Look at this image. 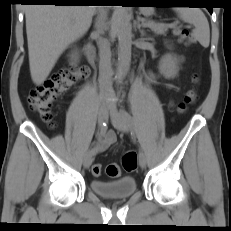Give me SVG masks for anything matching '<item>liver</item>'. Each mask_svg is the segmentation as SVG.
<instances>
[{
    "label": "liver",
    "instance_id": "6515ba94",
    "mask_svg": "<svg viewBox=\"0 0 231 231\" xmlns=\"http://www.w3.org/2000/svg\"><path fill=\"white\" fill-rule=\"evenodd\" d=\"M96 6L28 5L25 7L30 73L41 85L60 55L89 29Z\"/></svg>",
    "mask_w": 231,
    "mask_h": 231
}]
</instances>
